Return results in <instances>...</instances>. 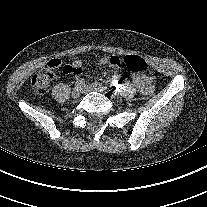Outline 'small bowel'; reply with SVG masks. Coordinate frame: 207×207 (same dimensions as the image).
I'll use <instances>...</instances> for the list:
<instances>
[{
    "label": "small bowel",
    "mask_w": 207,
    "mask_h": 207,
    "mask_svg": "<svg viewBox=\"0 0 207 207\" xmlns=\"http://www.w3.org/2000/svg\"><path fill=\"white\" fill-rule=\"evenodd\" d=\"M55 61L56 59L52 60L50 63L55 62ZM99 64L110 65V66L119 68L121 65V62L117 56H109V57L102 58L99 61ZM82 66H83L82 62L80 60H76L72 64L73 70L64 71V73L73 72L75 74H81L83 70ZM115 80L117 82V85L118 84L133 85L143 94H150L154 89V83L152 79L146 75H135L131 83L119 77H115Z\"/></svg>",
    "instance_id": "small-bowel-1"
}]
</instances>
